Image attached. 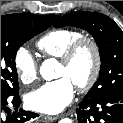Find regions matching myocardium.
<instances>
[{
    "instance_id": "1",
    "label": "myocardium",
    "mask_w": 123,
    "mask_h": 123,
    "mask_svg": "<svg viewBox=\"0 0 123 123\" xmlns=\"http://www.w3.org/2000/svg\"><path fill=\"white\" fill-rule=\"evenodd\" d=\"M84 47L91 49L94 63L88 78L84 82L75 85L77 89L82 92L90 90L100 76L102 70V54L99 43L93 37L81 36L67 48L60 58V64L70 66Z\"/></svg>"
}]
</instances>
